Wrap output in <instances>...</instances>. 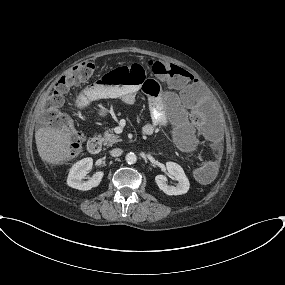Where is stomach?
Instances as JSON below:
<instances>
[{"mask_svg":"<svg viewBox=\"0 0 285 285\" xmlns=\"http://www.w3.org/2000/svg\"><path fill=\"white\" fill-rule=\"evenodd\" d=\"M99 115H100L101 117L106 116V110H105L104 108H101V109L99 110Z\"/></svg>","mask_w":285,"mask_h":285,"instance_id":"obj_1","label":"stomach"}]
</instances>
